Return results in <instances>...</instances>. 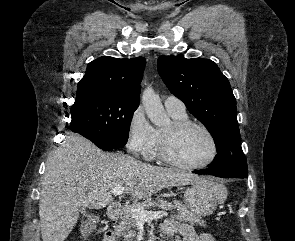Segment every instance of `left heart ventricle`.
<instances>
[{
  "label": "left heart ventricle",
  "mask_w": 295,
  "mask_h": 241,
  "mask_svg": "<svg viewBox=\"0 0 295 241\" xmlns=\"http://www.w3.org/2000/svg\"><path fill=\"white\" fill-rule=\"evenodd\" d=\"M169 128L170 125L163 131ZM170 152L180 162L199 164L209 158L212 152V145L203 131L190 127L172 136Z\"/></svg>",
  "instance_id": "left-heart-ventricle-1"
}]
</instances>
